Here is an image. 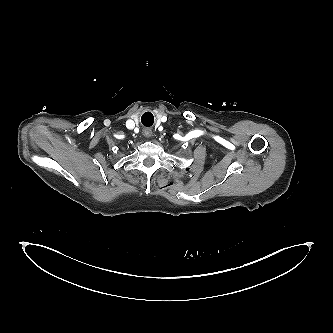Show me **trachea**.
<instances>
[{"instance_id": "1", "label": "trachea", "mask_w": 333, "mask_h": 333, "mask_svg": "<svg viewBox=\"0 0 333 333\" xmlns=\"http://www.w3.org/2000/svg\"><path fill=\"white\" fill-rule=\"evenodd\" d=\"M147 116H151V117H153V115H152L150 112H146V113L143 115V117H147Z\"/></svg>"}]
</instances>
